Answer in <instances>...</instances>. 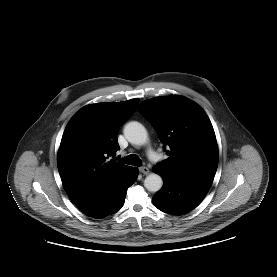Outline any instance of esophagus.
Masks as SVG:
<instances>
[{
  "label": "esophagus",
  "mask_w": 277,
  "mask_h": 277,
  "mask_svg": "<svg viewBox=\"0 0 277 277\" xmlns=\"http://www.w3.org/2000/svg\"><path fill=\"white\" fill-rule=\"evenodd\" d=\"M140 172L143 174H148L150 172L149 168L146 166H142L139 168Z\"/></svg>",
  "instance_id": "34e87169"
}]
</instances>
